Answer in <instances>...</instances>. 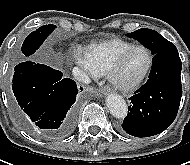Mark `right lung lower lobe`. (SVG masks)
Here are the masks:
<instances>
[{
  "label": "right lung lower lobe",
  "mask_w": 190,
  "mask_h": 165,
  "mask_svg": "<svg viewBox=\"0 0 190 165\" xmlns=\"http://www.w3.org/2000/svg\"><path fill=\"white\" fill-rule=\"evenodd\" d=\"M82 90V88H80ZM10 100L17 119L28 129L63 138L74 128L76 83L62 72L31 61L15 67Z\"/></svg>",
  "instance_id": "obj_1"
}]
</instances>
